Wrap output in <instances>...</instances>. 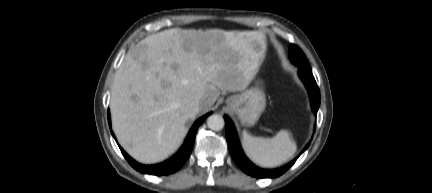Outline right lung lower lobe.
<instances>
[{
  "instance_id": "obj_1",
  "label": "right lung lower lobe",
  "mask_w": 432,
  "mask_h": 193,
  "mask_svg": "<svg viewBox=\"0 0 432 193\" xmlns=\"http://www.w3.org/2000/svg\"><path fill=\"white\" fill-rule=\"evenodd\" d=\"M209 114L199 118L194 123V125L190 129V131L187 135V138H186L184 144L182 145V147L180 148V150L171 159H169L163 163L156 164V165H141V164L137 163L136 161H134L129 155H127V153L120 146H119V148H120L122 154L124 155V157L126 158V160L131 164V166L133 168H135L139 172L152 174V175H158V176L173 173V172L177 171L178 169H180L183 166V164L186 162V160L188 159V157L192 151V148H193L194 139H195V135H196V132L198 130V127L206 119V117ZM108 122H109V126L111 128V119H110V112L109 111H108ZM111 133H112L113 137L115 138L112 130H111ZM115 140H116V138H115Z\"/></svg>"
}]
</instances>
